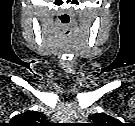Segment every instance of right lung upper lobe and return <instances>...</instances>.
<instances>
[{"label":"right lung upper lobe","mask_w":135,"mask_h":126,"mask_svg":"<svg viewBox=\"0 0 135 126\" xmlns=\"http://www.w3.org/2000/svg\"><path fill=\"white\" fill-rule=\"evenodd\" d=\"M44 119L45 115L41 112L27 111L14 116L11 121L15 122V124H28L42 122Z\"/></svg>","instance_id":"cb5924a9"}]
</instances>
